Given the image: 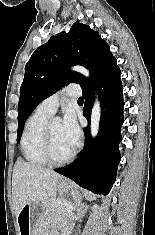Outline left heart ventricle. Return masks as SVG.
Instances as JSON below:
<instances>
[{
  "mask_svg": "<svg viewBox=\"0 0 155 235\" xmlns=\"http://www.w3.org/2000/svg\"><path fill=\"white\" fill-rule=\"evenodd\" d=\"M52 152L58 158H64L70 154L73 148L67 142L59 121H53L51 124Z\"/></svg>",
  "mask_w": 155,
  "mask_h": 235,
  "instance_id": "left-heart-ventricle-1",
  "label": "left heart ventricle"
}]
</instances>
